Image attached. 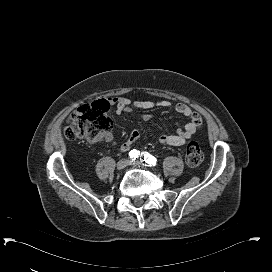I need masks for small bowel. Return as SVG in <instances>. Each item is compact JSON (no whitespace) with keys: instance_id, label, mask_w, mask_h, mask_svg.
I'll use <instances>...</instances> for the list:
<instances>
[{"instance_id":"1","label":"small bowel","mask_w":272,"mask_h":272,"mask_svg":"<svg viewBox=\"0 0 272 272\" xmlns=\"http://www.w3.org/2000/svg\"><path fill=\"white\" fill-rule=\"evenodd\" d=\"M111 102L116 107V113H128L131 111V108L137 109H153V108H170L171 103L169 101H160V102H151V101H133L126 97H112ZM174 110L182 116L190 118L189 123L185 125L183 129L177 131L173 135H161L159 138L160 143L163 146L179 147L186 143L194 133L201 128L202 120L201 117L192 111V109L185 104H178L174 107ZM143 120H148L151 118V114L144 112L141 114ZM140 132L138 130H133L130 134V137L121 145L123 151H129L132 149L134 143L139 139ZM101 141L108 144L115 145L114 136L110 130H107L103 133Z\"/></svg>"}]
</instances>
